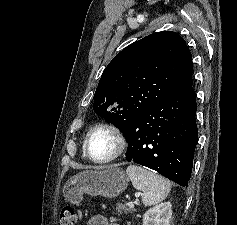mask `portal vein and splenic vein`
Masks as SVG:
<instances>
[{
    "label": "portal vein and splenic vein",
    "mask_w": 237,
    "mask_h": 225,
    "mask_svg": "<svg viewBox=\"0 0 237 225\" xmlns=\"http://www.w3.org/2000/svg\"><path fill=\"white\" fill-rule=\"evenodd\" d=\"M138 196H139V194H138ZM128 207L129 208H133L134 207V203L133 202H128Z\"/></svg>",
    "instance_id": "obj_1"
}]
</instances>
